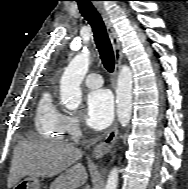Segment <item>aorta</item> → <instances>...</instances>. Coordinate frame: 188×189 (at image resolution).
<instances>
[{
    "label": "aorta",
    "instance_id": "1",
    "mask_svg": "<svg viewBox=\"0 0 188 189\" xmlns=\"http://www.w3.org/2000/svg\"><path fill=\"white\" fill-rule=\"evenodd\" d=\"M89 52L83 51L70 62L60 80L61 101L66 108L73 110L79 107L82 101L80 85L88 71ZM132 71L124 65L118 75L116 88L117 115L120 124L128 125L132 113ZM118 168L110 171L105 189H117Z\"/></svg>",
    "mask_w": 188,
    "mask_h": 189
}]
</instances>
